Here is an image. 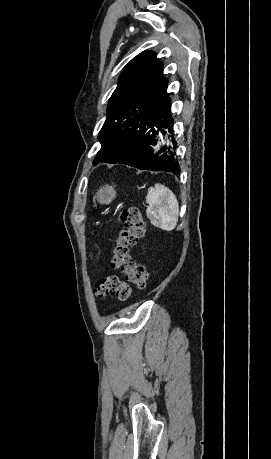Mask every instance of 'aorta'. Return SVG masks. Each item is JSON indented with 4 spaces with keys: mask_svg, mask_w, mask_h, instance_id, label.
I'll return each instance as SVG.
<instances>
[{
    "mask_svg": "<svg viewBox=\"0 0 271 459\" xmlns=\"http://www.w3.org/2000/svg\"><path fill=\"white\" fill-rule=\"evenodd\" d=\"M163 145H164V143H163V141H162V146H163ZM159 147H160V146H158V148H159Z\"/></svg>",
    "mask_w": 271,
    "mask_h": 459,
    "instance_id": "762f6f07",
    "label": "aorta"
}]
</instances>
